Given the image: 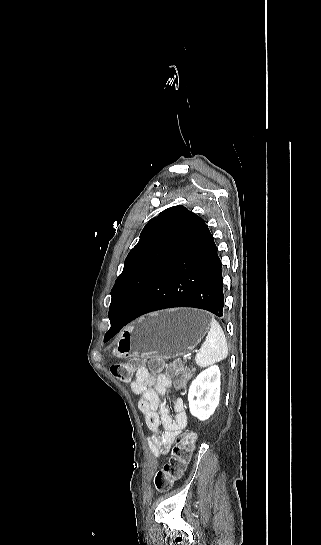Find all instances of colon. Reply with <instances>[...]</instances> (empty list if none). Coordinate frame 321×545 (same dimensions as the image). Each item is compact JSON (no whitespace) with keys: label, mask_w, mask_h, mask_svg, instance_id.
I'll use <instances>...</instances> for the list:
<instances>
[{"label":"colon","mask_w":321,"mask_h":545,"mask_svg":"<svg viewBox=\"0 0 321 545\" xmlns=\"http://www.w3.org/2000/svg\"><path fill=\"white\" fill-rule=\"evenodd\" d=\"M141 365L140 360H132L130 362L118 363L111 367V373L122 383L128 384L132 381L134 371ZM163 367V362L159 358H154L150 361V368L153 372H158ZM182 368L179 361L171 363L168 369L172 372H178ZM187 376L182 375L179 385H185ZM196 442L195 435L188 434L179 438L173 449L172 457L164 464L154 477L155 487L160 491L168 490L175 481L181 478L185 471L186 465L190 459L191 453Z\"/></svg>","instance_id":"colon-1"}]
</instances>
